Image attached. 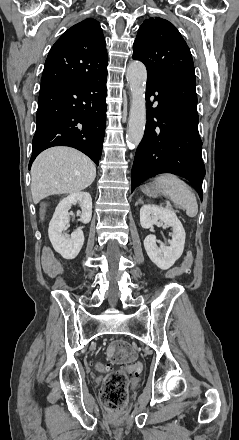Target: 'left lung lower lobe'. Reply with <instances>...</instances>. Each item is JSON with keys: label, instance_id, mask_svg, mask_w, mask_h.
<instances>
[{"label": "left lung lower lobe", "instance_id": "0a47b994", "mask_svg": "<svg viewBox=\"0 0 239 440\" xmlns=\"http://www.w3.org/2000/svg\"><path fill=\"white\" fill-rule=\"evenodd\" d=\"M195 87L191 77L147 76V122L133 163L132 190L142 180L172 173L192 182L202 199L205 166Z\"/></svg>", "mask_w": 239, "mask_h": 440}]
</instances>
